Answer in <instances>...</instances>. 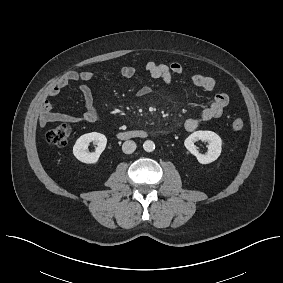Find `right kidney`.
Returning a JSON list of instances; mask_svg holds the SVG:
<instances>
[{"label":"right kidney","instance_id":"obj_1","mask_svg":"<svg viewBox=\"0 0 283 283\" xmlns=\"http://www.w3.org/2000/svg\"><path fill=\"white\" fill-rule=\"evenodd\" d=\"M97 144L95 152H88V146L90 142ZM107 144V138L104 134L92 132L80 136L74 147L73 154L81 162L86 164H95L101 153L104 151Z\"/></svg>","mask_w":283,"mask_h":283}]
</instances>
